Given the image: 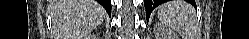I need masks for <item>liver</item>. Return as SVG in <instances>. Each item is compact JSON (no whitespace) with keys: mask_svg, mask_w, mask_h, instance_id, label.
Segmentation results:
<instances>
[{"mask_svg":"<svg viewBox=\"0 0 249 39\" xmlns=\"http://www.w3.org/2000/svg\"><path fill=\"white\" fill-rule=\"evenodd\" d=\"M69 29L75 39L87 37L105 16L104 8L95 0H69Z\"/></svg>","mask_w":249,"mask_h":39,"instance_id":"6515ba94","label":"liver"}]
</instances>
